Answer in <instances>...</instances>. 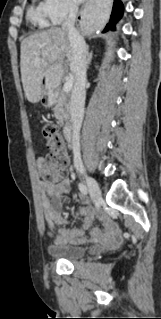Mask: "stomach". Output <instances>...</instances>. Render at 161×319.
<instances>
[{
  "label": "stomach",
  "instance_id": "1",
  "mask_svg": "<svg viewBox=\"0 0 161 319\" xmlns=\"http://www.w3.org/2000/svg\"><path fill=\"white\" fill-rule=\"evenodd\" d=\"M63 74V68L61 65L54 64L48 67L42 77L43 95H49L51 99V93L59 85L60 79Z\"/></svg>",
  "mask_w": 161,
  "mask_h": 319
}]
</instances>
